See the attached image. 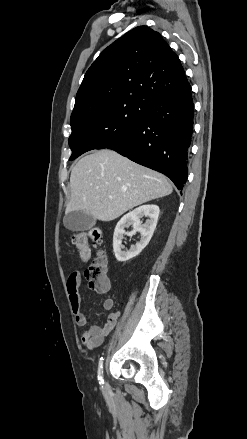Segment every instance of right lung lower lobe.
Instances as JSON below:
<instances>
[{
  "instance_id": "obj_1",
  "label": "right lung lower lobe",
  "mask_w": 247,
  "mask_h": 439,
  "mask_svg": "<svg viewBox=\"0 0 247 439\" xmlns=\"http://www.w3.org/2000/svg\"><path fill=\"white\" fill-rule=\"evenodd\" d=\"M193 105L191 88L162 97L148 106L129 133L107 148L165 174L180 190L187 178Z\"/></svg>"
}]
</instances>
